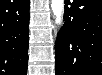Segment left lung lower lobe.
<instances>
[{
	"instance_id": "1",
	"label": "left lung lower lobe",
	"mask_w": 102,
	"mask_h": 75,
	"mask_svg": "<svg viewBox=\"0 0 102 75\" xmlns=\"http://www.w3.org/2000/svg\"><path fill=\"white\" fill-rule=\"evenodd\" d=\"M55 75H102V2L65 0Z\"/></svg>"
}]
</instances>
